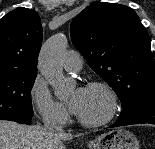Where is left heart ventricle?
Wrapping results in <instances>:
<instances>
[{
  "mask_svg": "<svg viewBox=\"0 0 155 149\" xmlns=\"http://www.w3.org/2000/svg\"><path fill=\"white\" fill-rule=\"evenodd\" d=\"M108 111V100L100 91L86 88L83 103L78 115L86 120L103 118Z\"/></svg>",
  "mask_w": 155,
  "mask_h": 149,
  "instance_id": "left-heart-ventricle-1",
  "label": "left heart ventricle"
}]
</instances>
